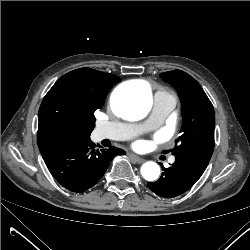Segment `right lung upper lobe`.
<instances>
[{"label": "right lung upper lobe", "instance_id": "cb5924a9", "mask_svg": "<svg viewBox=\"0 0 250 250\" xmlns=\"http://www.w3.org/2000/svg\"><path fill=\"white\" fill-rule=\"evenodd\" d=\"M120 79L113 74L80 68L63 75L44 97L38 117L39 148L92 132L89 112L103 105Z\"/></svg>", "mask_w": 250, "mask_h": 250}]
</instances>
